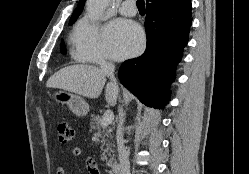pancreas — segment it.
<instances>
[{
    "label": "pancreas",
    "mask_w": 249,
    "mask_h": 174,
    "mask_svg": "<svg viewBox=\"0 0 249 174\" xmlns=\"http://www.w3.org/2000/svg\"><path fill=\"white\" fill-rule=\"evenodd\" d=\"M90 128L93 131H98V135L101 138L102 161H105L107 166H112L114 161V147H115L113 142L112 130L108 127H103L101 125V117L99 115H93V114L91 115ZM104 146L106 147L104 148Z\"/></svg>",
    "instance_id": "1"
}]
</instances>
